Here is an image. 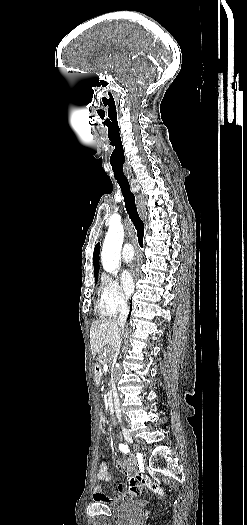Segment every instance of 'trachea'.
Wrapping results in <instances>:
<instances>
[{"label":"trachea","instance_id":"trachea-1","mask_svg":"<svg viewBox=\"0 0 247 525\" xmlns=\"http://www.w3.org/2000/svg\"><path fill=\"white\" fill-rule=\"evenodd\" d=\"M118 183L122 191L126 211L129 215L130 220L134 224V227L136 228L137 236H138V243L140 247L143 248V239H144V234H145L144 223L139 216L138 209L136 206L135 196L130 190V184L128 181H125V182L118 181Z\"/></svg>","mask_w":247,"mask_h":525}]
</instances>
